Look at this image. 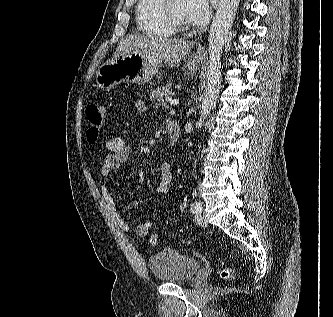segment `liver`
I'll return each instance as SVG.
<instances>
[{
    "label": "liver",
    "instance_id": "liver-1",
    "mask_svg": "<svg viewBox=\"0 0 333 317\" xmlns=\"http://www.w3.org/2000/svg\"><path fill=\"white\" fill-rule=\"evenodd\" d=\"M194 46L192 41L158 37L151 35L133 34L127 35L118 45L114 58L124 57L131 53L141 55L164 62L170 67L177 65Z\"/></svg>",
    "mask_w": 333,
    "mask_h": 317
}]
</instances>
